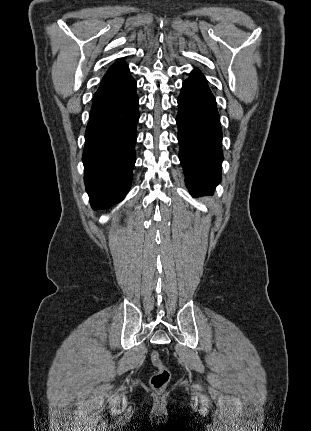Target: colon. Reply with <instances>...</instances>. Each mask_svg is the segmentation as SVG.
<instances>
[{"mask_svg":"<svg viewBox=\"0 0 311 431\" xmlns=\"http://www.w3.org/2000/svg\"><path fill=\"white\" fill-rule=\"evenodd\" d=\"M151 362L157 369L151 377V386L155 390H163L169 383L171 376L170 371L163 363L158 351H153L151 353Z\"/></svg>","mask_w":311,"mask_h":431,"instance_id":"obj_1","label":"colon"}]
</instances>
